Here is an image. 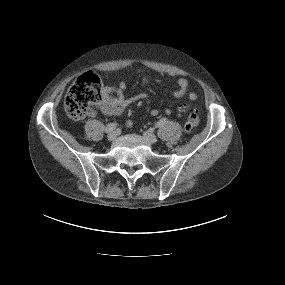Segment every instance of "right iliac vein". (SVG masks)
I'll list each match as a JSON object with an SVG mask.
<instances>
[{
  "label": "right iliac vein",
  "instance_id": "right-iliac-vein-1",
  "mask_svg": "<svg viewBox=\"0 0 285 285\" xmlns=\"http://www.w3.org/2000/svg\"><path fill=\"white\" fill-rule=\"evenodd\" d=\"M117 137V133L115 131H111L108 135L107 138L109 141H114Z\"/></svg>",
  "mask_w": 285,
  "mask_h": 285
}]
</instances>
